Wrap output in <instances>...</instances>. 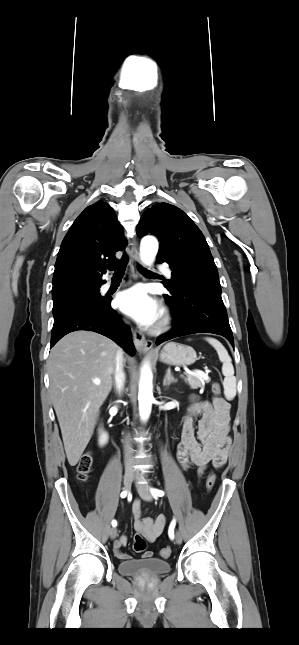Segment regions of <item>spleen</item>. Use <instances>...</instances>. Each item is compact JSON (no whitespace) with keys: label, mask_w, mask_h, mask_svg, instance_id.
Masks as SVG:
<instances>
[{"label":"spleen","mask_w":299,"mask_h":645,"mask_svg":"<svg viewBox=\"0 0 299 645\" xmlns=\"http://www.w3.org/2000/svg\"><path fill=\"white\" fill-rule=\"evenodd\" d=\"M206 341L214 347L220 361L223 363L222 373L225 376L223 381L224 395L228 400H232L236 396V377L234 376L232 360L225 347L218 340L214 338H206Z\"/></svg>","instance_id":"1"}]
</instances>
